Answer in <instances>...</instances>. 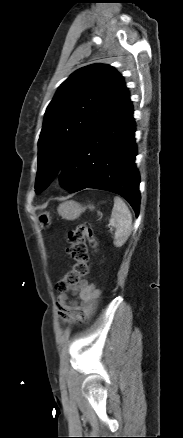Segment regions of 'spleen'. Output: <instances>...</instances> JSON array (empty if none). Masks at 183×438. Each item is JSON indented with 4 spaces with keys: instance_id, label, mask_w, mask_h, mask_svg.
Wrapping results in <instances>:
<instances>
[{
    "instance_id": "1",
    "label": "spleen",
    "mask_w": 183,
    "mask_h": 438,
    "mask_svg": "<svg viewBox=\"0 0 183 438\" xmlns=\"http://www.w3.org/2000/svg\"><path fill=\"white\" fill-rule=\"evenodd\" d=\"M110 225L115 227L114 245L116 247L123 246L132 231V215L127 205L119 197L114 198Z\"/></svg>"
}]
</instances>
